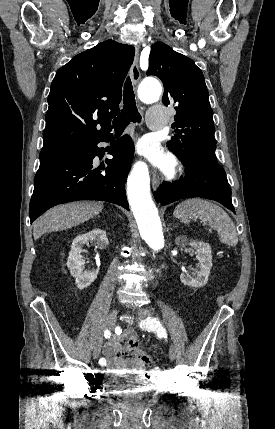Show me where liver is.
I'll return each mask as SVG.
<instances>
[{
  "mask_svg": "<svg viewBox=\"0 0 275 429\" xmlns=\"http://www.w3.org/2000/svg\"><path fill=\"white\" fill-rule=\"evenodd\" d=\"M102 209V202H74L56 206L34 222V238L38 239L47 232L79 225L99 214Z\"/></svg>",
  "mask_w": 275,
  "mask_h": 429,
  "instance_id": "6515ba94",
  "label": "liver"
}]
</instances>
